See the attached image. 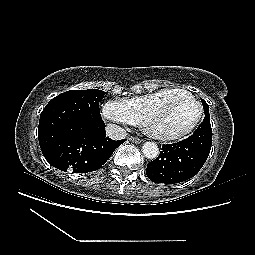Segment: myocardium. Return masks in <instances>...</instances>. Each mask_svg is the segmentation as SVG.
<instances>
[{
    "label": "myocardium",
    "instance_id": "1",
    "mask_svg": "<svg viewBox=\"0 0 255 255\" xmlns=\"http://www.w3.org/2000/svg\"><path fill=\"white\" fill-rule=\"evenodd\" d=\"M176 98H184L197 106L198 112L194 121L186 129L176 133H165V132H158L153 130L150 127V124L152 123L153 119L156 117L158 113L162 111V109H164L168 104H170ZM202 115H203V107L201 103L189 92L185 90H181L177 92L176 94L170 96L169 98L165 99L163 102L159 104V106H157L155 109L150 111L145 117L142 123V127L144 132L153 138L161 139V140H175V139L182 138L188 135L189 133H191L199 124L202 118Z\"/></svg>",
    "mask_w": 255,
    "mask_h": 255
}]
</instances>
